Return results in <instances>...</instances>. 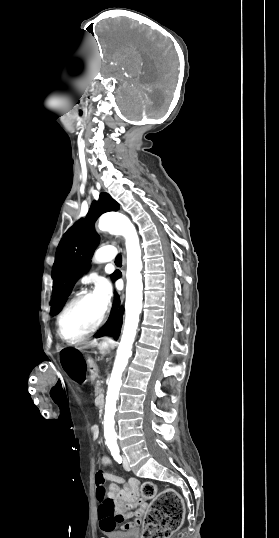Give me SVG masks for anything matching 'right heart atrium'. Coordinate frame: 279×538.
Wrapping results in <instances>:
<instances>
[{
  "mask_svg": "<svg viewBox=\"0 0 279 538\" xmlns=\"http://www.w3.org/2000/svg\"><path fill=\"white\" fill-rule=\"evenodd\" d=\"M108 233L111 234V235H120L119 232H117L115 229L113 228H110L108 230ZM57 237H59V234H56Z\"/></svg>",
  "mask_w": 279,
  "mask_h": 538,
  "instance_id": "right-heart-atrium-1",
  "label": "right heart atrium"
}]
</instances>
